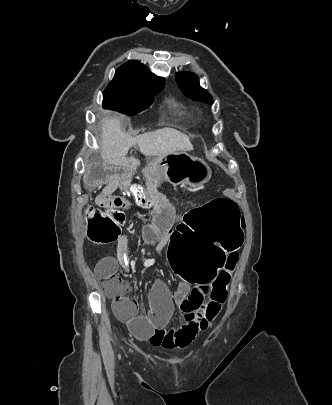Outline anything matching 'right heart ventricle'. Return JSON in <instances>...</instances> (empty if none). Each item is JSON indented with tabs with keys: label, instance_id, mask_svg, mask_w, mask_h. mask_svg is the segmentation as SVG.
<instances>
[{
	"label": "right heart ventricle",
	"instance_id": "e07e8e85",
	"mask_svg": "<svg viewBox=\"0 0 332 405\" xmlns=\"http://www.w3.org/2000/svg\"><path fill=\"white\" fill-rule=\"evenodd\" d=\"M174 106L179 109L182 113H187V110L182 107L181 105H179L178 103L174 102Z\"/></svg>",
	"mask_w": 332,
	"mask_h": 405
}]
</instances>
